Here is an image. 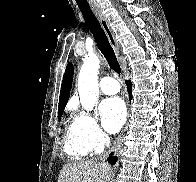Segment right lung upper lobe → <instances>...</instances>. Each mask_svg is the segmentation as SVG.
Wrapping results in <instances>:
<instances>
[{
    "label": "right lung upper lobe",
    "instance_id": "1",
    "mask_svg": "<svg viewBox=\"0 0 196 182\" xmlns=\"http://www.w3.org/2000/svg\"><path fill=\"white\" fill-rule=\"evenodd\" d=\"M72 79H73V66L71 63H68L61 85L58 114H63L64 108L69 99Z\"/></svg>",
    "mask_w": 196,
    "mask_h": 182
}]
</instances>
